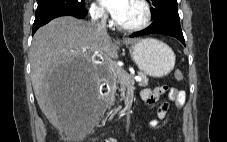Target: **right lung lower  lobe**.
Returning a JSON list of instances; mask_svg holds the SVG:
<instances>
[{"label": "right lung lower lobe", "mask_w": 227, "mask_h": 142, "mask_svg": "<svg viewBox=\"0 0 227 142\" xmlns=\"http://www.w3.org/2000/svg\"><path fill=\"white\" fill-rule=\"evenodd\" d=\"M86 15H87V11L85 9L56 10V11L36 15L35 21H34V24H33L32 35L35 33V31L39 27L43 26L44 24H46L47 22H49L50 20H52L54 18H57V17H60V16H74L76 18L81 19V18H84Z\"/></svg>", "instance_id": "1"}]
</instances>
